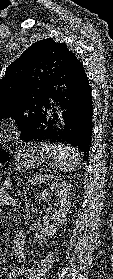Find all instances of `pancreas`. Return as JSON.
Returning <instances> with one entry per match:
<instances>
[{
  "label": "pancreas",
  "mask_w": 113,
  "mask_h": 279,
  "mask_svg": "<svg viewBox=\"0 0 113 279\" xmlns=\"http://www.w3.org/2000/svg\"><path fill=\"white\" fill-rule=\"evenodd\" d=\"M48 177L43 176V175H34L30 182L33 185H40L41 183L45 182L47 180Z\"/></svg>",
  "instance_id": "cf45deb5"
}]
</instances>
